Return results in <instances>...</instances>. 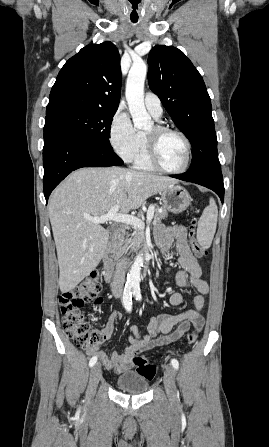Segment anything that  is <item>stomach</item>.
<instances>
[{
  "label": "stomach",
  "mask_w": 269,
  "mask_h": 447,
  "mask_svg": "<svg viewBox=\"0 0 269 447\" xmlns=\"http://www.w3.org/2000/svg\"><path fill=\"white\" fill-rule=\"evenodd\" d=\"M161 196L164 208L173 214L184 212L192 202V198L185 188L173 186V184L166 190H162Z\"/></svg>",
  "instance_id": "0dacf381"
}]
</instances>
